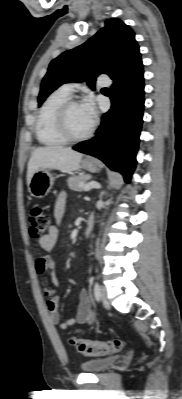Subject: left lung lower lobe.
<instances>
[{"instance_id":"left-lung-lower-lobe-1","label":"left lung lower lobe","mask_w":182,"mask_h":399,"mask_svg":"<svg viewBox=\"0 0 182 399\" xmlns=\"http://www.w3.org/2000/svg\"><path fill=\"white\" fill-rule=\"evenodd\" d=\"M143 64L111 86V109L102 116L96 136L79 143L74 150L102 160L129 182L136 166V153L144 108Z\"/></svg>"}]
</instances>
